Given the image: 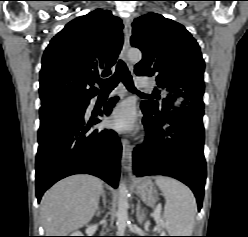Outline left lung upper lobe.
Instances as JSON below:
<instances>
[{
	"label": "left lung upper lobe",
	"instance_id": "5c2ea615",
	"mask_svg": "<svg viewBox=\"0 0 248 237\" xmlns=\"http://www.w3.org/2000/svg\"><path fill=\"white\" fill-rule=\"evenodd\" d=\"M132 27L131 45L143 53L134 72L154 76L157 86L168 95L160 108L156 101H143L142 106L158 120L178 107L202 109L205 64L192 35L183 25L152 12L135 19Z\"/></svg>",
	"mask_w": 248,
	"mask_h": 237
}]
</instances>
